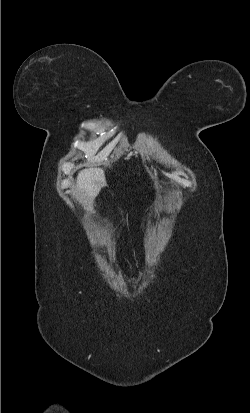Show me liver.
Segmentation results:
<instances>
[{"label":"liver","mask_w":250,"mask_h":413,"mask_svg":"<svg viewBox=\"0 0 250 413\" xmlns=\"http://www.w3.org/2000/svg\"><path fill=\"white\" fill-rule=\"evenodd\" d=\"M105 184L104 172L100 168H88L79 172L77 176V188L91 203Z\"/></svg>","instance_id":"6515ba94"}]
</instances>
